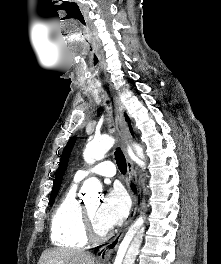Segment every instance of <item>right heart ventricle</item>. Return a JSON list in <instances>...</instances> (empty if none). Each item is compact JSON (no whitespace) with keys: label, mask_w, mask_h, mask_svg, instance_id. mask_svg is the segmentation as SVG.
<instances>
[{"label":"right heart ventricle","mask_w":221,"mask_h":264,"mask_svg":"<svg viewBox=\"0 0 221 264\" xmlns=\"http://www.w3.org/2000/svg\"><path fill=\"white\" fill-rule=\"evenodd\" d=\"M76 183L64 193L51 220L50 237L54 245L80 249L87 245L82 205L76 197Z\"/></svg>","instance_id":"1"}]
</instances>
